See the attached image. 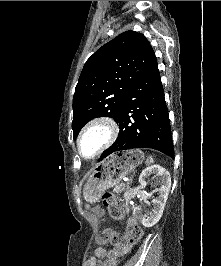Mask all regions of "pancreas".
<instances>
[{
    "instance_id": "1",
    "label": "pancreas",
    "mask_w": 221,
    "mask_h": 266,
    "mask_svg": "<svg viewBox=\"0 0 221 266\" xmlns=\"http://www.w3.org/2000/svg\"><path fill=\"white\" fill-rule=\"evenodd\" d=\"M126 186L121 183L120 185H117L114 187L113 192L115 193H122L125 190Z\"/></svg>"
}]
</instances>
